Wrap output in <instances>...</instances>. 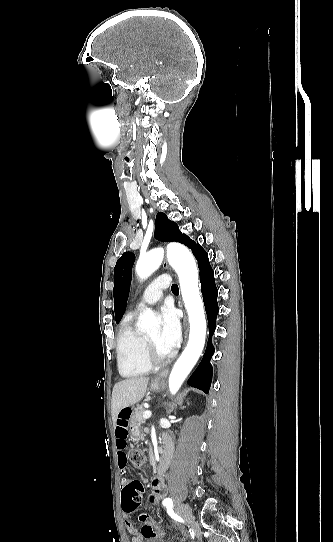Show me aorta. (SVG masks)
Returning <instances> with one entry per match:
<instances>
[{
    "label": "aorta",
    "mask_w": 333,
    "mask_h": 542,
    "mask_svg": "<svg viewBox=\"0 0 333 542\" xmlns=\"http://www.w3.org/2000/svg\"><path fill=\"white\" fill-rule=\"evenodd\" d=\"M171 256V266L178 274L181 294L189 320V338L185 350L180 358L175 362L169 376L168 384L171 394H176L185 382L188 374L197 364L205 346L206 340V320L198 288V272L193 254L181 246V244H169L167 248ZM162 264V254L159 250H151L145 256H140L136 264V272L141 280L149 278L153 272L158 270ZM158 320L150 310L146 308L145 312L139 316L138 330H150L157 326Z\"/></svg>",
    "instance_id": "obj_1"
}]
</instances>
